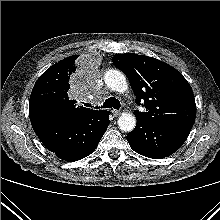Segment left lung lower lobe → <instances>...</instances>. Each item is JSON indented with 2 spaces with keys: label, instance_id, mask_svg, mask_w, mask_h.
I'll list each match as a JSON object with an SVG mask.
<instances>
[{
  "label": "left lung lower lobe",
  "instance_id": "obj_1",
  "mask_svg": "<svg viewBox=\"0 0 220 220\" xmlns=\"http://www.w3.org/2000/svg\"><path fill=\"white\" fill-rule=\"evenodd\" d=\"M193 124L169 121L161 124L137 119L135 129L126 139L135 152L154 159L168 157L187 139Z\"/></svg>",
  "mask_w": 220,
  "mask_h": 220
}]
</instances>
